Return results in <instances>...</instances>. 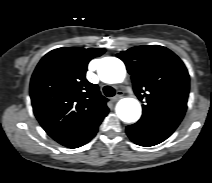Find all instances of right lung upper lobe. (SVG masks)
I'll return each instance as SVG.
<instances>
[{"label":"right lung upper lobe","instance_id":"obj_1","mask_svg":"<svg viewBox=\"0 0 212 183\" xmlns=\"http://www.w3.org/2000/svg\"><path fill=\"white\" fill-rule=\"evenodd\" d=\"M104 49L62 47L47 53L30 83L33 111L58 143L71 146L98 129L108 114V99L85 78L88 62Z\"/></svg>","mask_w":212,"mask_h":183}]
</instances>
